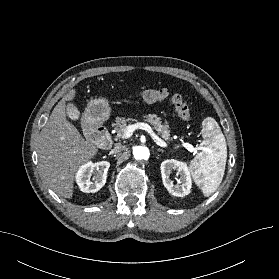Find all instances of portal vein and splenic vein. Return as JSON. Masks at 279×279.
Listing matches in <instances>:
<instances>
[{"label":"portal vein and splenic vein","instance_id":"obj_1","mask_svg":"<svg viewBox=\"0 0 279 279\" xmlns=\"http://www.w3.org/2000/svg\"><path fill=\"white\" fill-rule=\"evenodd\" d=\"M136 129L145 130L151 138L156 142L157 145L161 147H167V144L153 131V129L147 124L143 122H138L132 125H128L124 131L123 138L127 139L132 136L133 132ZM183 147H185L188 151L196 153L197 150H200L201 147H194L189 143H183Z\"/></svg>","mask_w":279,"mask_h":279}]
</instances>
